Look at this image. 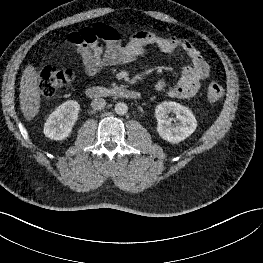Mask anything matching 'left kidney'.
Instances as JSON below:
<instances>
[{
    "label": "left kidney",
    "mask_w": 263,
    "mask_h": 263,
    "mask_svg": "<svg viewBox=\"0 0 263 263\" xmlns=\"http://www.w3.org/2000/svg\"><path fill=\"white\" fill-rule=\"evenodd\" d=\"M173 112L178 123L172 124L168 114ZM158 122L157 131L160 137L170 143H179L189 137L197 127L192 111L177 102H162L155 108Z\"/></svg>",
    "instance_id": "left-kidney-1"
}]
</instances>
